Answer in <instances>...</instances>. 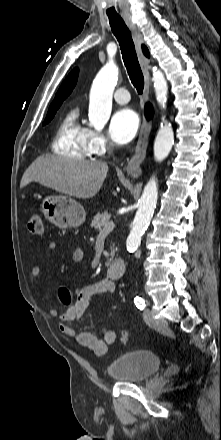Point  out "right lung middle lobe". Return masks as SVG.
<instances>
[{"instance_id": "obj_1", "label": "right lung middle lobe", "mask_w": 221, "mask_h": 440, "mask_svg": "<svg viewBox=\"0 0 221 440\" xmlns=\"http://www.w3.org/2000/svg\"><path fill=\"white\" fill-rule=\"evenodd\" d=\"M59 107L60 106H57V107L51 109L50 111H48V114H47L46 119L43 124H47L54 117V115Z\"/></svg>"}]
</instances>
